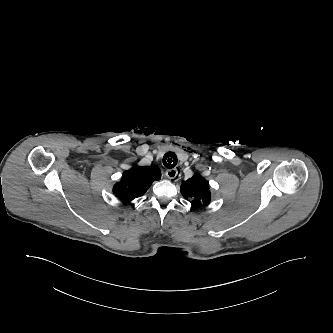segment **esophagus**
<instances>
[{
	"instance_id": "34e87169",
	"label": "esophagus",
	"mask_w": 333,
	"mask_h": 333,
	"mask_svg": "<svg viewBox=\"0 0 333 333\" xmlns=\"http://www.w3.org/2000/svg\"><path fill=\"white\" fill-rule=\"evenodd\" d=\"M165 175L169 180H173L177 177H180V174L178 172V168H173V169L166 170Z\"/></svg>"
}]
</instances>
